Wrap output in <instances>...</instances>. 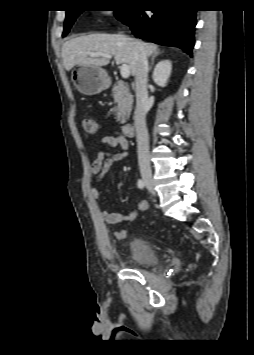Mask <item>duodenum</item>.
<instances>
[{
    "mask_svg": "<svg viewBox=\"0 0 254 355\" xmlns=\"http://www.w3.org/2000/svg\"><path fill=\"white\" fill-rule=\"evenodd\" d=\"M135 127L132 123H126L123 126V132L126 136H132L134 134Z\"/></svg>",
    "mask_w": 254,
    "mask_h": 355,
    "instance_id": "410a0bca",
    "label": "duodenum"
}]
</instances>
